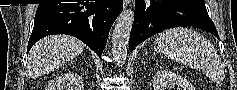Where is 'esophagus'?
<instances>
[{
  "label": "esophagus",
  "instance_id": "esophagus-1",
  "mask_svg": "<svg viewBox=\"0 0 237 90\" xmlns=\"http://www.w3.org/2000/svg\"><path fill=\"white\" fill-rule=\"evenodd\" d=\"M131 0H123L124 8L130 3Z\"/></svg>",
  "mask_w": 237,
  "mask_h": 90
}]
</instances>
